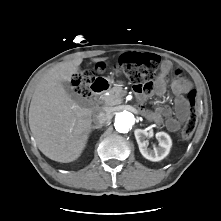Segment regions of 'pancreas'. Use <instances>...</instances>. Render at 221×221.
Returning <instances> with one entry per match:
<instances>
[{
	"label": "pancreas",
	"mask_w": 221,
	"mask_h": 221,
	"mask_svg": "<svg viewBox=\"0 0 221 221\" xmlns=\"http://www.w3.org/2000/svg\"><path fill=\"white\" fill-rule=\"evenodd\" d=\"M108 95L102 97V101L105 107H112L122 103L126 91L123 90L121 85H116L110 89Z\"/></svg>",
	"instance_id": "obj_1"
}]
</instances>
